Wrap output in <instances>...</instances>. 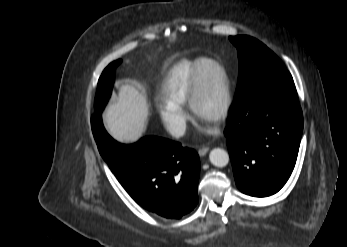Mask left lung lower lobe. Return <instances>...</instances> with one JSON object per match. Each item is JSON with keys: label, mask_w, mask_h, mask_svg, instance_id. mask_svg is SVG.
<instances>
[{"label": "left lung lower lobe", "mask_w": 347, "mask_h": 247, "mask_svg": "<svg viewBox=\"0 0 347 247\" xmlns=\"http://www.w3.org/2000/svg\"><path fill=\"white\" fill-rule=\"evenodd\" d=\"M303 115L291 74L272 72L235 98L225 136L241 192L266 197L289 179L298 155Z\"/></svg>", "instance_id": "0a47b994"}]
</instances>
